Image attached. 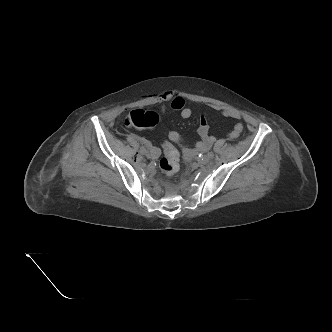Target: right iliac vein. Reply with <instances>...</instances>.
<instances>
[{"label":"right iliac vein","mask_w":332,"mask_h":332,"mask_svg":"<svg viewBox=\"0 0 332 332\" xmlns=\"http://www.w3.org/2000/svg\"><path fill=\"white\" fill-rule=\"evenodd\" d=\"M139 152H140L142 155H145V154L147 153V150H146L145 147H140Z\"/></svg>","instance_id":"right-iliac-vein-1"}]
</instances>
